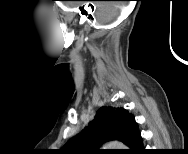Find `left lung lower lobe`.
Returning <instances> with one entry per match:
<instances>
[{"instance_id": "obj_1", "label": "left lung lower lobe", "mask_w": 188, "mask_h": 154, "mask_svg": "<svg viewBox=\"0 0 188 154\" xmlns=\"http://www.w3.org/2000/svg\"><path fill=\"white\" fill-rule=\"evenodd\" d=\"M124 144L127 145L130 149L127 150L128 153H131L133 151H142V138L140 135V132L138 130L137 123L134 119V117L131 119L127 135L124 141Z\"/></svg>"}]
</instances>
